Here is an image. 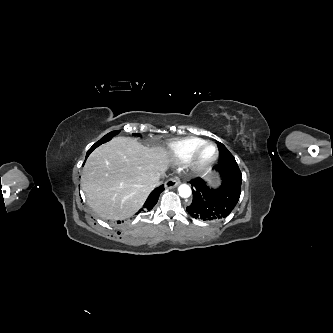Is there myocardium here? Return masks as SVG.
Segmentation results:
<instances>
[{
	"mask_svg": "<svg viewBox=\"0 0 333 333\" xmlns=\"http://www.w3.org/2000/svg\"><path fill=\"white\" fill-rule=\"evenodd\" d=\"M208 147H212L215 151L214 156L210 159L204 160L202 158V154ZM219 157V151L217 146L212 142H205L203 145H201L192 155L189 163V168L191 171L195 173L203 172L210 168L212 165L215 164V162L218 160Z\"/></svg>",
	"mask_w": 333,
	"mask_h": 333,
	"instance_id": "f54148a6",
	"label": "myocardium"
}]
</instances>
